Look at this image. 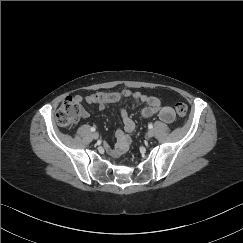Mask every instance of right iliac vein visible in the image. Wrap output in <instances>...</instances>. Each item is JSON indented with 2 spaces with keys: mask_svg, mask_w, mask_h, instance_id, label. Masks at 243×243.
<instances>
[{
  "mask_svg": "<svg viewBox=\"0 0 243 243\" xmlns=\"http://www.w3.org/2000/svg\"><path fill=\"white\" fill-rule=\"evenodd\" d=\"M92 137H93V139H98L99 134H98L97 132H94V133L92 134Z\"/></svg>",
  "mask_w": 243,
  "mask_h": 243,
  "instance_id": "obj_1",
  "label": "right iliac vein"
}]
</instances>
